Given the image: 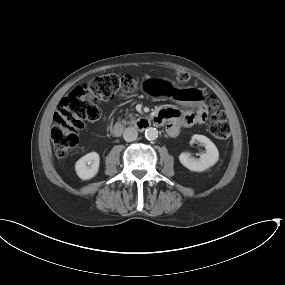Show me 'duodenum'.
<instances>
[{
    "instance_id": "obj_1",
    "label": "duodenum",
    "mask_w": 285,
    "mask_h": 285,
    "mask_svg": "<svg viewBox=\"0 0 285 285\" xmlns=\"http://www.w3.org/2000/svg\"><path fill=\"white\" fill-rule=\"evenodd\" d=\"M150 126V122L148 119L143 118L140 119L136 124H135V128L137 130L140 131H144L146 130L148 127ZM125 126L122 123H115L112 127H111V133L114 136H120L124 130Z\"/></svg>"
}]
</instances>
